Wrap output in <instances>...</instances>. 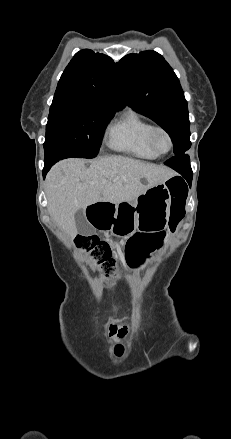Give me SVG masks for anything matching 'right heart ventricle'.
<instances>
[{"instance_id":"1","label":"right heart ventricle","mask_w":231,"mask_h":439,"mask_svg":"<svg viewBox=\"0 0 231 439\" xmlns=\"http://www.w3.org/2000/svg\"><path fill=\"white\" fill-rule=\"evenodd\" d=\"M153 125L133 110L125 112L108 132V146L114 151L140 159L152 160L158 155L149 145Z\"/></svg>"}]
</instances>
